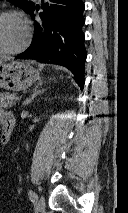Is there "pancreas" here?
<instances>
[{
    "instance_id": "obj_1",
    "label": "pancreas",
    "mask_w": 128,
    "mask_h": 213,
    "mask_svg": "<svg viewBox=\"0 0 128 213\" xmlns=\"http://www.w3.org/2000/svg\"><path fill=\"white\" fill-rule=\"evenodd\" d=\"M18 100L17 94L0 93V108H10L16 104Z\"/></svg>"
}]
</instances>
